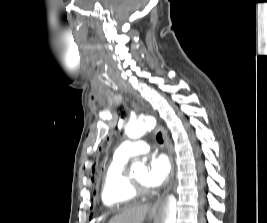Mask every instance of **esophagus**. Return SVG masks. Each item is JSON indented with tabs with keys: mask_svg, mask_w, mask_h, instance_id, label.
<instances>
[{
	"mask_svg": "<svg viewBox=\"0 0 267 223\" xmlns=\"http://www.w3.org/2000/svg\"><path fill=\"white\" fill-rule=\"evenodd\" d=\"M159 130H160V132L162 133V137H163V140H164V144H165V146H166V148H167V152H168V154H169V159H170V161H171V165H172V171H171V184H172V180H173V177H174V160H173V154H172V147H171L169 138H168L167 133H166V131L164 130V128L159 127ZM170 188H171V185L168 187L167 192L170 190ZM160 202H161V199H158V200L154 203V205H153L152 208H151V212H156V211H157Z\"/></svg>",
	"mask_w": 267,
	"mask_h": 223,
	"instance_id": "obj_1",
	"label": "esophagus"
}]
</instances>
